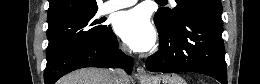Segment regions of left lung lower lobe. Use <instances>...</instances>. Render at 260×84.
I'll use <instances>...</instances> for the list:
<instances>
[{"label":"left lung lower lobe","mask_w":260,"mask_h":84,"mask_svg":"<svg viewBox=\"0 0 260 84\" xmlns=\"http://www.w3.org/2000/svg\"><path fill=\"white\" fill-rule=\"evenodd\" d=\"M159 51L147 58L151 72H197L227 84L221 12L187 9L171 25L156 22Z\"/></svg>","instance_id":"0a47b994"}]
</instances>
